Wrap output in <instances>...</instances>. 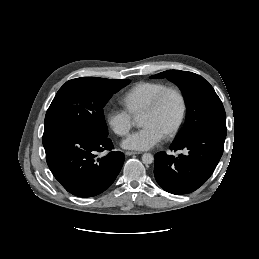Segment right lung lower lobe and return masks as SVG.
Returning a JSON list of instances; mask_svg holds the SVG:
<instances>
[{"label":"right lung lower lobe","instance_id":"98d812e1","mask_svg":"<svg viewBox=\"0 0 259 259\" xmlns=\"http://www.w3.org/2000/svg\"><path fill=\"white\" fill-rule=\"evenodd\" d=\"M43 146L47 164L59 183L71 194L91 197L105 191L119 174L124 154L113 149L103 135L81 129L61 128L45 131ZM110 151L99 158L98 154Z\"/></svg>","mask_w":259,"mask_h":259}]
</instances>
